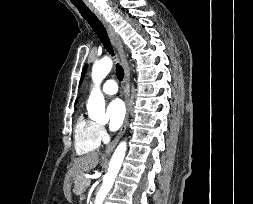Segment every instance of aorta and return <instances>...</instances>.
Returning a JSON list of instances; mask_svg holds the SVG:
<instances>
[{"mask_svg": "<svg viewBox=\"0 0 253 204\" xmlns=\"http://www.w3.org/2000/svg\"><path fill=\"white\" fill-rule=\"evenodd\" d=\"M112 60L105 57L94 63L92 68V80L95 83L87 103L89 117L98 122H106L109 117L105 114L104 96L100 90V83L112 69ZM127 144L121 142L115 149L107 174L104 176L102 186L96 196L95 204H103L104 199L113 186L114 180L120 170L121 164L125 157Z\"/></svg>", "mask_w": 253, "mask_h": 204, "instance_id": "aorta-1", "label": "aorta"}]
</instances>
